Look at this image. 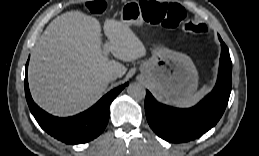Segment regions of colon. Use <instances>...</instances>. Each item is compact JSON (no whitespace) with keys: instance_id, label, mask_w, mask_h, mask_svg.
I'll list each match as a JSON object with an SVG mask.
<instances>
[{"instance_id":"obj_1","label":"colon","mask_w":259,"mask_h":156,"mask_svg":"<svg viewBox=\"0 0 259 156\" xmlns=\"http://www.w3.org/2000/svg\"><path fill=\"white\" fill-rule=\"evenodd\" d=\"M106 2L103 0H96V1H91L86 4L85 9L92 13V14H102L106 10ZM146 19L150 22H159L161 21V18L157 12L156 9L150 10L146 12ZM168 21L164 20L163 24H166ZM185 30L195 33V34H203L206 32V27L203 24H198V23H188L184 26Z\"/></svg>"}]
</instances>
